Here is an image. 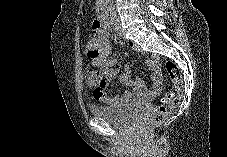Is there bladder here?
<instances>
[{
    "label": "bladder",
    "mask_w": 227,
    "mask_h": 157,
    "mask_svg": "<svg viewBox=\"0 0 227 157\" xmlns=\"http://www.w3.org/2000/svg\"><path fill=\"white\" fill-rule=\"evenodd\" d=\"M143 107L127 104L120 107L92 106L90 112L116 126H127L143 114Z\"/></svg>",
    "instance_id": "obj_1"
}]
</instances>
